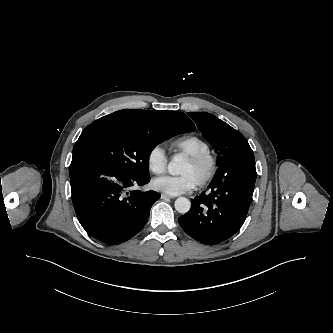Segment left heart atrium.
I'll use <instances>...</instances> for the list:
<instances>
[{
    "label": "left heart atrium",
    "mask_w": 333,
    "mask_h": 333,
    "mask_svg": "<svg viewBox=\"0 0 333 333\" xmlns=\"http://www.w3.org/2000/svg\"><path fill=\"white\" fill-rule=\"evenodd\" d=\"M154 189L168 195H180L192 191L197 186V181L188 174L179 176H164L153 180Z\"/></svg>",
    "instance_id": "obj_1"
}]
</instances>
